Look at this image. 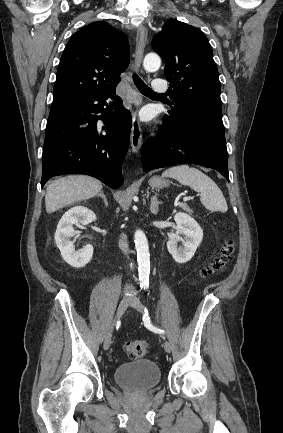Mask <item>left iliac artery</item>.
I'll return each instance as SVG.
<instances>
[{"label":"left iliac artery","mask_w":283,"mask_h":433,"mask_svg":"<svg viewBox=\"0 0 283 433\" xmlns=\"http://www.w3.org/2000/svg\"><path fill=\"white\" fill-rule=\"evenodd\" d=\"M143 321L145 324H148V328H151L154 332H157L159 334H165V331L161 328L153 327L150 323V317L148 315V310L145 308V314L143 315Z\"/></svg>","instance_id":"1"}]
</instances>
